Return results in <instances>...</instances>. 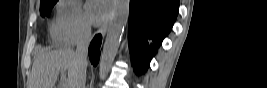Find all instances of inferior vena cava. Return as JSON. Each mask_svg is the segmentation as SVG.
Instances as JSON below:
<instances>
[{"instance_id":"inferior-vena-cava-1","label":"inferior vena cava","mask_w":267,"mask_h":88,"mask_svg":"<svg viewBox=\"0 0 267 88\" xmlns=\"http://www.w3.org/2000/svg\"><path fill=\"white\" fill-rule=\"evenodd\" d=\"M91 39V27L85 25L79 41L77 42L75 55L80 63L76 88H85L88 45Z\"/></svg>"}]
</instances>
